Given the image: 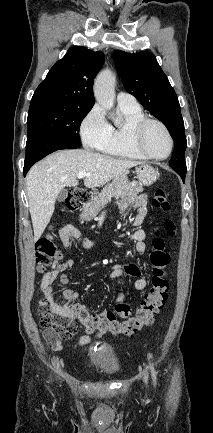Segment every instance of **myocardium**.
I'll use <instances>...</instances> for the list:
<instances>
[{
	"label": "myocardium",
	"instance_id": "f54148a6",
	"mask_svg": "<svg viewBox=\"0 0 213 433\" xmlns=\"http://www.w3.org/2000/svg\"><path fill=\"white\" fill-rule=\"evenodd\" d=\"M157 125L159 126L167 135L170 143L169 151L165 156H156L148 151L144 144V134L148 126ZM131 140L135 149L141 153L143 156L153 160H165L172 154L174 150V138L168 129V127L160 120L154 118L144 117L137 121L131 128Z\"/></svg>",
	"mask_w": 213,
	"mask_h": 433
}]
</instances>
